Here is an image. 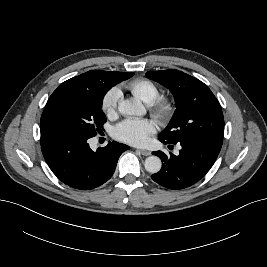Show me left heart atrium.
I'll use <instances>...</instances> for the list:
<instances>
[{"mask_svg": "<svg viewBox=\"0 0 267 267\" xmlns=\"http://www.w3.org/2000/svg\"><path fill=\"white\" fill-rule=\"evenodd\" d=\"M155 131L156 125L152 120L126 119L115 126L113 135L119 141L142 146Z\"/></svg>", "mask_w": 267, "mask_h": 267, "instance_id": "left-heart-atrium-1", "label": "left heart atrium"}]
</instances>
